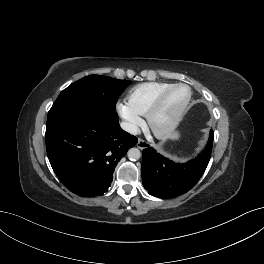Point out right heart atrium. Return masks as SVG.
Wrapping results in <instances>:
<instances>
[{
	"instance_id": "right-heart-atrium-1",
	"label": "right heart atrium",
	"mask_w": 264,
	"mask_h": 264,
	"mask_svg": "<svg viewBox=\"0 0 264 264\" xmlns=\"http://www.w3.org/2000/svg\"><path fill=\"white\" fill-rule=\"evenodd\" d=\"M117 110L125 121L126 129L131 133L136 132L142 122L140 116L124 103H118Z\"/></svg>"
}]
</instances>
